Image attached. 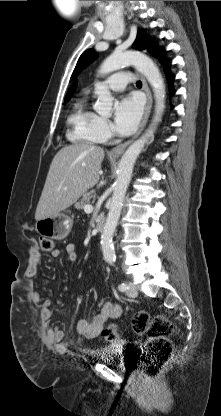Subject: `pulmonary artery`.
I'll use <instances>...</instances> for the list:
<instances>
[{"label":"pulmonary artery","instance_id":"e3ab8cb5","mask_svg":"<svg viewBox=\"0 0 221 416\" xmlns=\"http://www.w3.org/2000/svg\"><path fill=\"white\" fill-rule=\"evenodd\" d=\"M133 81L127 71H119L111 75L103 84L112 91H122L128 83Z\"/></svg>","mask_w":221,"mask_h":416}]
</instances>
